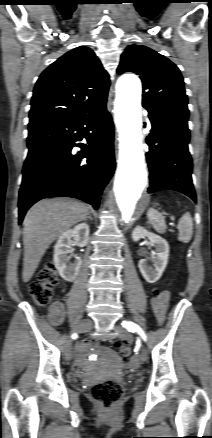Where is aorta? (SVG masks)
Returning a JSON list of instances; mask_svg holds the SVG:
<instances>
[{
    "label": "aorta",
    "instance_id": "obj_1",
    "mask_svg": "<svg viewBox=\"0 0 212 438\" xmlns=\"http://www.w3.org/2000/svg\"><path fill=\"white\" fill-rule=\"evenodd\" d=\"M141 91V82L135 75H124L117 82L114 113L120 151L114 193L117 215L125 223L134 217L147 181L141 133Z\"/></svg>",
    "mask_w": 212,
    "mask_h": 438
}]
</instances>
